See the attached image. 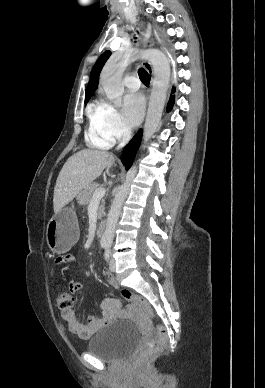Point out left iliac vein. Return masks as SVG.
I'll return each mask as SVG.
<instances>
[{"mask_svg": "<svg viewBox=\"0 0 265 388\" xmlns=\"http://www.w3.org/2000/svg\"><path fill=\"white\" fill-rule=\"evenodd\" d=\"M109 269H110L111 272H115V270H116V264H115V260H114V259H111V260H110Z\"/></svg>", "mask_w": 265, "mask_h": 388, "instance_id": "4c4485c4", "label": "left iliac vein"}]
</instances>
